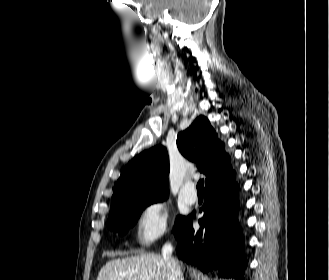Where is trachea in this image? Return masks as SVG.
I'll return each mask as SVG.
<instances>
[{
    "mask_svg": "<svg viewBox=\"0 0 329 280\" xmlns=\"http://www.w3.org/2000/svg\"><path fill=\"white\" fill-rule=\"evenodd\" d=\"M203 187H204V180L201 179L199 180V182L197 183V191L199 192H203Z\"/></svg>",
    "mask_w": 329,
    "mask_h": 280,
    "instance_id": "trachea-1",
    "label": "trachea"
}]
</instances>
